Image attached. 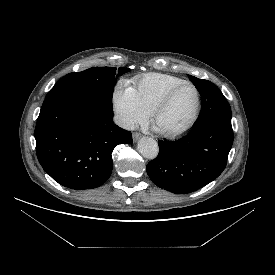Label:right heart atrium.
Segmentation results:
<instances>
[{"label": "right heart atrium", "mask_w": 275, "mask_h": 275, "mask_svg": "<svg viewBox=\"0 0 275 275\" xmlns=\"http://www.w3.org/2000/svg\"><path fill=\"white\" fill-rule=\"evenodd\" d=\"M113 104L119 122L125 128L145 120L149 114L141 104L135 88L126 82H120L115 87Z\"/></svg>", "instance_id": "1"}]
</instances>
